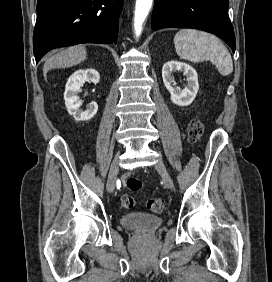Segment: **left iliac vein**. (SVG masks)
Here are the masks:
<instances>
[{"instance_id":"4c4485c4","label":"left iliac vein","mask_w":272,"mask_h":282,"mask_svg":"<svg viewBox=\"0 0 272 282\" xmlns=\"http://www.w3.org/2000/svg\"><path fill=\"white\" fill-rule=\"evenodd\" d=\"M156 169L158 170V172L160 173V175L162 176L163 180H164V184L167 188L172 189L173 188V180L170 176V174L168 173L163 161L161 159H159L157 161L156 164Z\"/></svg>"}]
</instances>
